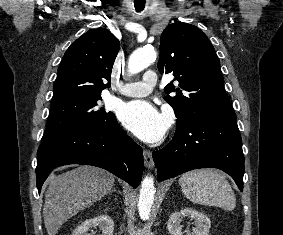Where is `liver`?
Instances as JSON below:
<instances>
[{
    "instance_id": "6515ba94",
    "label": "liver",
    "mask_w": 283,
    "mask_h": 235,
    "mask_svg": "<svg viewBox=\"0 0 283 235\" xmlns=\"http://www.w3.org/2000/svg\"><path fill=\"white\" fill-rule=\"evenodd\" d=\"M114 176L94 166H79L49 180L43 206L48 235H56L69 218L108 194Z\"/></svg>"
}]
</instances>
